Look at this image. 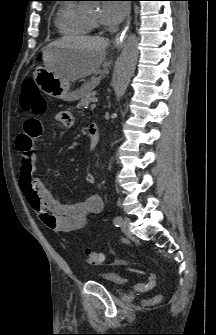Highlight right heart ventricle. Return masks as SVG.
<instances>
[{
  "label": "right heart ventricle",
  "mask_w": 216,
  "mask_h": 335,
  "mask_svg": "<svg viewBox=\"0 0 216 335\" xmlns=\"http://www.w3.org/2000/svg\"><path fill=\"white\" fill-rule=\"evenodd\" d=\"M55 26L65 36H85L93 31L94 24L87 14L79 11L76 4L67 2L57 10Z\"/></svg>",
  "instance_id": "e07e8e85"
}]
</instances>
